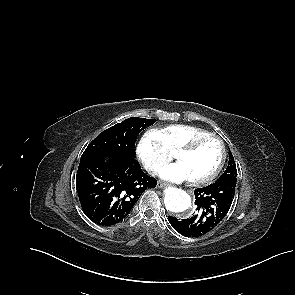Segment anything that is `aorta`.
Returning a JSON list of instances; mask_svg holds the SVG:
<instances>
[{
    "label": "aorta",
    "instance_id": "1",
    "mask_svg": "<svg viewBox=\"0 0 295 295\" xmlns=\"http://www.w3.org/2000/svg\"><path fill=\"white\" fill-rule=\"evenodd\" d=\"M164 204L168 211L181 214L190 210L192 201L187 192L176 187H167L164 191Z\"/></svg>",
    "mask_w": 295,
    "mask_h": 295
}]
</instances>
